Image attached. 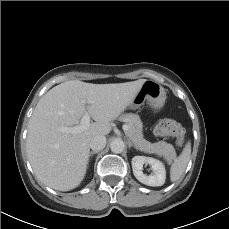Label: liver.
<instances>
[{"mask_svg": "<svg viewBox=\"0 0 229 229\" xmlns=\"http://www.w3.org/2000/svg\"><path fill=\"white\" fill-rule=\"evenodd\" d=\"M146 81L93 84L72 80L43 95L29 120L26 140L37 178L59 191L79 186L87 170L90 140L110 133L111 122L131 105ZM85 113L95 120L88 129L76 134L60 131L78 125Z\"/></svg>", "mask_w": 229, "mask_h": 229, "instance_id": "1", "label": "liver"}]
</instances>
